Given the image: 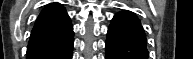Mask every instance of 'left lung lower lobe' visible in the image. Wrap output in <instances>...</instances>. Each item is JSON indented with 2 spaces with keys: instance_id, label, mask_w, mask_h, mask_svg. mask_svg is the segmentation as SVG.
<instances>
[{
  "instance_id": "left-lung-lower-lobe-1",
  "label": "left lung lower lobe",
  "mask_w": 193,
  "mask_h": 59,
  "mask_svg": "<svg viewBox=\"0 0 193 59\" xmlns=\"http://www.w3.org/2000/svg\"><path fill=\"white\" fill-rule=\"evenodd\" d=\"M106 59H148L146 35L135 14L123 11L112 19L107 33Z\"/></svg>"
}]
</instances>
